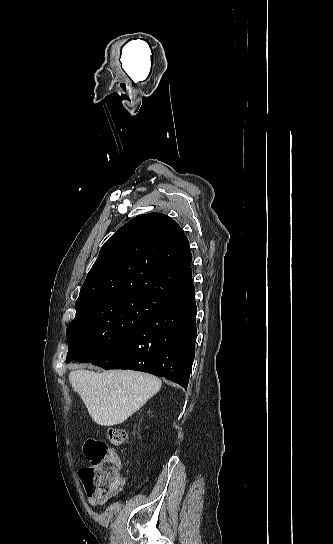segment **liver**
Wrapping results in <instances>:
<instances>
[{
    "instance_id": "liver-1",
    "label": "liver",
    "mask_w": 333,
    "mask_h": 544,
    "mask_svg": "<svg viewBox=\"0 0 333 544\" xmlns=\"http://www.w3.org/2000/svg\"><path fill=\"white\" fill-rule=\"evenodd\" d=\"M69 382L93 421L101 426L123 423L162 385L156 376L130 370H75L70 372Z\"/></svg>"
}]
</instances>
